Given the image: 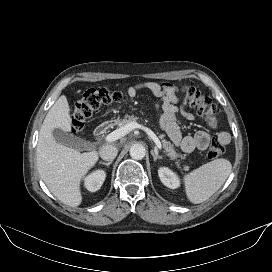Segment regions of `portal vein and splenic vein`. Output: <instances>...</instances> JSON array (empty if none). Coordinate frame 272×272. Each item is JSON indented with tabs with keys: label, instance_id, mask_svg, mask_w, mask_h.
Listing matches in <instances>:
<instances>
[{
	"label": "portal vein and splenic vein",
	"instance_id": "18ae733b",
	"mask_svg": "<svg viewBox=\"0 0 272 272\" xmlns=\"http://www.w3.org/2000/svg\"><path fill=\"white\" fill-rule=\"evenodd\" d=\"M134 129H141L144 132H146L147 135L154 141L156 147L160 150L162 149V144H161L160 140L158 139V137L155 135V133L152 130H150L149 128H147L143 125H140L136 121L130 122V123L122 126L121 128L111 132L110 134H108L105 137V141L106 142H114V141L120 139L121 137H124L130 131H132Z\"/></svg>",
	"mask_w": 272,
	"mask_h": 272
}]
</instances>
